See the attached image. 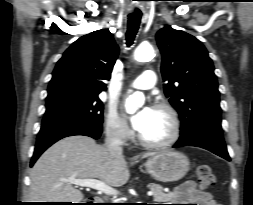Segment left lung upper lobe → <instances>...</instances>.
Masks as SVG:
<instances>
[{"label":"left lung upper lobe","mask_w":253,"mask_h":205,"mask_svg":"<svg viewBox=\"0 0 253 205\" xmlns=\"http://www.w3.org/2000/svg\"><path fill=\"white\" fill-rule=\"evenodd\" d=\"M162 54L166 97L181 119L179 140H190L206 127L221 129L218 83L212 60L194 36L171 27L156 34Z\"/></svg>","instance_id":"left-lung-upper-lobe-1"}]
</instances>
